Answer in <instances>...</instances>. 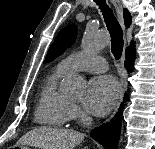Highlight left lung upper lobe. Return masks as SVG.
Masks as SVG:
<instances>
[{"mask_svg":"<svg viewBox=\"0 0 155 149\" xmlns=\"http://www.w3.org/2000/svg\"><path fill=\"white\" fill-rule=\"evenodd\" d=\"M77 29L75 25H68L63 28L53 44L50 46L44 63L53 61L57 56L61 55L68 47H70L76 40Z\"/></svg>","mask_w":155,"mask_h":149,"instance_id":"obj_1","label":"left lung upper lobe"}]
</instances>
